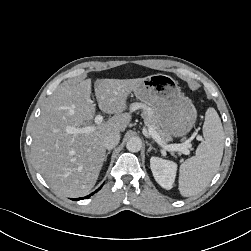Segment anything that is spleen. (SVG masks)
<instances>
[{
    "label": "spleen",
    "mask_w": 251,
    "mask_h": 251,
    "mask_svg": "<svg viewBox=\"0 0 251 251\" xmlns=\"http://www.w3.org/2000/svg\"><path fill=\"white\" fill-rule=\"evenodd\" d=\"M203 136L195 155L184 161L179 169V191L184 197L201 193L219 169L225 135L214 108H208L205 113Z\"/></svg>",
    "instance_id": "3e777b00"
}]
</instances>
